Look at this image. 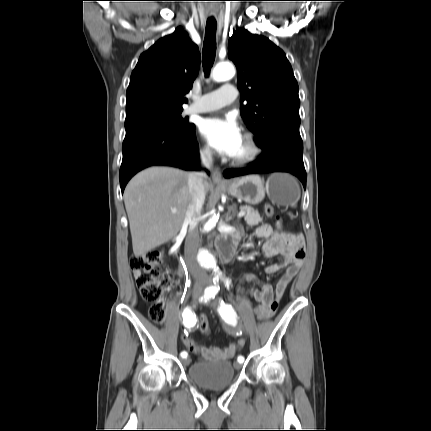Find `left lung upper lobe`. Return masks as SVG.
Segmentation results:
<instances>
[{"mask_svg": "<svg viewBox=\"0 0 431 431\" xmlns=\"http://www.w3.org/2000/svg\"><path fill=\"white\" fill-rule=\"evenodd\" d=\"M228 56L238 70L241 115L261 147L286 134L301 139L298 84L285 53L264 36L241 29L229 39Z\"/></svg>", "mask_w": 431, "mask_h": 431, "instance_id": "5c2ea615", "label": "left lung upper lobe"}]
</instances>
